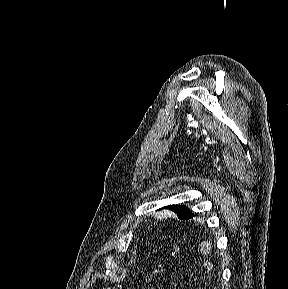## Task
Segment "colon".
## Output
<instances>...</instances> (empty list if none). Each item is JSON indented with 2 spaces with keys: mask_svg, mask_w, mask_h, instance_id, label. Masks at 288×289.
<instances>
[{
  "mask_svg": "<svg viewBox=\"0 0 288 289\" xmlns=\"http://www.w3.org/2000/svg\"><path fill=\"white\" fill-rule=\"evenodd\" d=\"M101 289H122L121 286H114V287H103Z\"/></svg>",
  "mask_w": 288,
  "mask_h": 289,
  "instance_id": "obj_1",
  "label": "colon"
}]
</instances>
